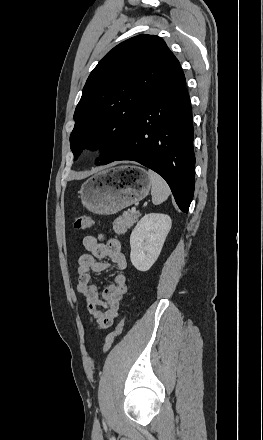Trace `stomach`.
<instances>
[{
  "label": "stomach",
  "instance_id": "obj_1",
  "mask_svg": "<svg viewBox=\"0 0 263 440\" xmlns=\"http://www.w3.org/2000/svg\"><path fill=\"white\" fill-rule=\"evenodd\" d=\"M150 188L151 180L145 169L122 166L93 175L83 183L79 193L89 211L112 215L144 199Z\"/></svg>",
  "mask_w": 263,
  "mask_h": 440
}]
</instances>
